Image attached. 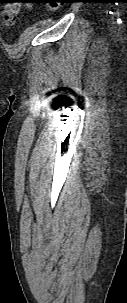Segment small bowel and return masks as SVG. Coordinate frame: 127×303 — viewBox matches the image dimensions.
I'll use <instances>...</instances> for the list:
<instances>
[{
  "instance_id": "c3829d8e",
  "label": "small bowel",
  "mask_w": 127,
  "mask_h": 303,
  "mask_svg": "<svg viewBox=\"0 0 127 303\" xmlns=\"http://www.w3.org/2000/svg\"><path fill=\"white\" fill-rule=\"evenodd\" d=\"M19 9H20V6L18 4H14L9 7L6 17H5L6 25H11L13 23V18L18 13Z\"/></svg>"
}]
</instances>
